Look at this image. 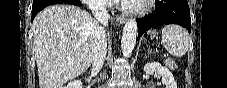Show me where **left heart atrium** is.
Returning a JSON list of instances; mask_svg holds the SVG:
<instances>
[{"label":"left heart atrium","mask_w":227,"mask_h":88,"mask_svg":"<svg viewBox=\"0 0 227 88\" xmlns=\"http://www.w3.org/2000/svg\"><path fill=\"white\" fill-rule=\"evenodd\" d=\"M117 2L124 7L140 3L139 0H118Z\"/></svg>","instance_id":"left-heart-atrium-1"}]
</instances>
